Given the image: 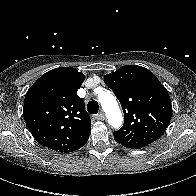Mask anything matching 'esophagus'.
<instances>
[{"label":"esophagus","mask_w":196,"mask_h":196,"mask_svg":"<svg viewBox=\"0 0 196 196\" xmlns=\"http://www.w3.org/2000/svg\"><path fill=\"white\" fill-rule=\"evenodd\" d=\"M95 119L98 121H103L105 120V115L103 112H100L99 114L95 115Z\"/></svg>","instance_id":"obj_1"}]
</instances>
